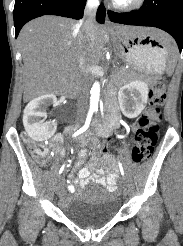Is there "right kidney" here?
Masks as SVG:
<instances>
[{
  "mask_svg": "<svg viewBox=\"0 0 183 246\" xmlns=\"http://www.w3.org/2000/svg\"><path fill=\"white\" fill-rule=\"evenodd\" d=\"M56 97L53 94H46L33 99L24 110L23 124L28 136L34 141H45L56 131L57 124L54 121L44 122L46 107L54 104Z\"/></svg>",
  "mask_w": 183,
  "mask_h": 246,
  "instance_id": "right-kidney-1",
  "label": "right kidney"
}]
</instances>
